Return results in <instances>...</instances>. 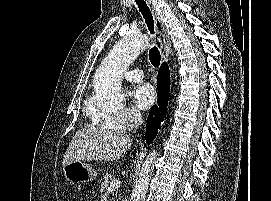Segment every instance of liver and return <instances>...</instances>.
Returning <instances> with one entry per match:
<instances>
[{
  "label": "liver",
  "mask_w": 271,
  "mask_h": 201,
  "mask_svg": "<svg viewBox=\"0 0 271 201\" xmlns=\"http://www.w3.org/2000/svg\"><path fill=\"white\" fill-rule=\"evenodd\" d=\"M132 139L124 131L102 128L78 130L67 148L63 167L73 161H116L129 149Z\"/></svg>",
  "instance_id": "1"
}]
</instances>
